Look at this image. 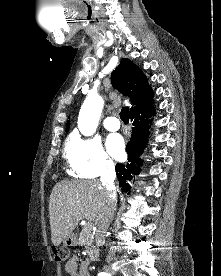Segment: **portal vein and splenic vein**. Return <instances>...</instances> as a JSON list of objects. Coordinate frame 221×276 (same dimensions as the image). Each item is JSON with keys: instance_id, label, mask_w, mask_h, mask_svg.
Segmentation results:
<instances>
[{"instance_id": "obj_1", "label": "portal vein and splenic vein", "mask_w": 221, "mask_h": 276, "mask_svg": "<svg viewBox=\"0 0 221 276\" xmlns=\"http://www.w3.org/2000/svg\"><path fill=\"white\" fill-rule=\"evenodd\" d=\"M86 226H87V227H90V226H91V224H90V223H88Z\"/></svg>"}]
</instances>
